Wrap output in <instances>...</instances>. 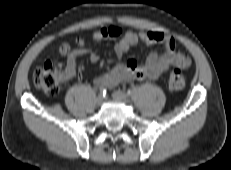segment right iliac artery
<instances>
[{"label": "right iliac artery", "mask_w": 231, "mask_h": 170, "mask_svg": "<svg viewBox=\"0 0 231 170\" xmlns=\"http://www.w3.org/2000/svg\"><path fill=\"white\" fill-rule=\"evenodd\" d=\"M99 92H100V95L105 97L107 94V89L105 87H100Z\"/></svg>", "instance_id": "obj_1"}]
</instances>
